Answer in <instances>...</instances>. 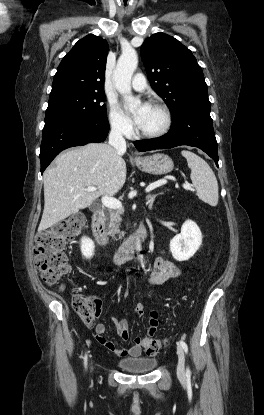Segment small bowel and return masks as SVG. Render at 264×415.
Instances as JSON below:
<instances>
[{"label": "small bowel", "instance_id": "c3829d8e", "mask_svg": "<svg viewBox=\"0 0 264 415\" xmlns=\"http://www.w3.org/2000/svg\"><path fill=\"white\" fill-rule=\"evenodd\" d=\"M177 274L176 267L174 263L163 257H158L155 259L153 267L146 279V282L149 285H160L164 283L169 278ZM100 307V306H99ZM146 310V304L142 301L137 302L134 305V312L136 315L143 314ZM148 333L152 335L156 332L158 327V313L153 311L148 317ZM115 327L117 333L123 338H129V328L126 320H117L115 322ZM107 328L104 324H98L95 328V336L99 344L104 346L106 349L113 352L115 355L124 356L127 358H137L141 355L142 349L145 348L144 342L141 338L136 337L135 342L128 349L118 348L112 341L107 340L103 334L106 332Z\"/></svg>", "mask_w": 264, "mask_h": 415}]
</instances>
